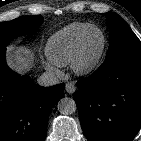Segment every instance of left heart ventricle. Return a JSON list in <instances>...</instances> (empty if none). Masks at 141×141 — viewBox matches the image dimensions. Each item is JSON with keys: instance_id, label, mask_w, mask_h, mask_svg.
Segmentation results:
<instances>
[{"instance_id": "1", "label": "left heart ventricle", "mask_w": 141, "mask_h": 141, "mask_svg": "<svg viewBox=\"0 0 141 141\" xmlns=\"http://www.w3.org/2000/svg\"><path fill=\"white\" fill-rule=\"evenodd\" d=\"M102 45V36L98 31H93L88 36L85 47V58L91 60L96 56Z\"/></svg>"}]
</instances>
